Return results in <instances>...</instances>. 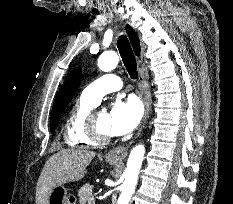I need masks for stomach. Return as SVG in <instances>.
Returning <instances> with one entry per match:
<instances>
[{
	"mask_svg": "<svg viewBox=\"0 0 233 204\" xmlns=\"http://www.w3.org/2000/svg\"><path fill=\"white\" fill-rule=\"evenodd\" d=\"M107 162L116 165L119 162L113 159H107ZM71 194L63 185H56L50 191L47 204H70Z\"/></svg>",
	"mask_w": 233,
	"mask_h": 204,
	"instance_id": "obj_1",
	"label": "stomach"
}]
</instances>
